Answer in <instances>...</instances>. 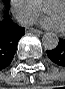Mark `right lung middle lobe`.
<instances>
[{"mask_svg":"<svg viewBox=\"0 0 65 89\" xmlns=\"http://www.w3.org/2000/svg\"><path fill=\"white\" fill-rule=\"evenodd\" d=\"M4 1V3L6 4V6L8 7V5H9V0H3Z\"/></svg>","mask_w":65,"mask_h":89,"instance_id":"1","label":"right lung middle lobe"}]
</instances>
